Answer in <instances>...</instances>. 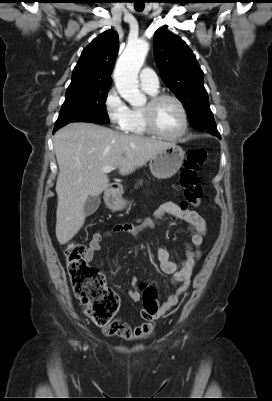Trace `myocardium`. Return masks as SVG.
Wrapping results in <instances>:
<instances>
[{"label":"myocardium","instance_id":"1","mask_svg":"<svg viewBox=\"0 0 272 401\" xmlns=\"http://www.w3.org/2000/svg\"><path fill=\"white\" fill-rule=\"evenodd\" d=\"M164 100L174 101L178 105V107L182 113L183 128L180 131V133H178L176 135H167V134L163 133L162 131H160V129L158 128V126L156 124V120H155L156 108ZM142 111H143L144 123H145L147 130L151 134H153L161 139H165V140H169V141H176V140L181 139L183 136H185V134L188 131L189 120H188V114H187L186 107H185L184 103L175 95L166 94V93H157L155 95H152L149 98L146 105L144 107H142Z\"/></svg>","mask_w":272,"mask_h":401}]
</instances>
